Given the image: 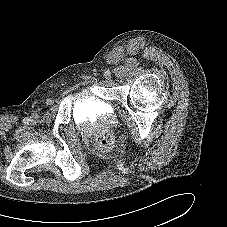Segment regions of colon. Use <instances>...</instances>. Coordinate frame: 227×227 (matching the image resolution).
<instances>
[{
    "label": "colon",
    "instance_id": "1",
    "mask_svg": "<svg viewBox=\"0 0 227 227\" xmlns=\"http://www.w3.org/2000/svg\"><path fill=\"white\" fill-rule=\"evenodd\" d=\"M118 140L110 134H102L99 136L97 140V147L102 151L111 150L116 144Z\"/></svg>",
    "mask_w": 227,
    "mask_h": 227
}]
</instances>
